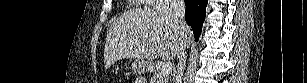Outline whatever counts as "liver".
<instances>
[{
  "label": "liver",
  "instance_id": "1",
  "mask_svg": "<svg viewBox=\"0 0 307 83\" xmlns=\"http://www.w3.org/2000/svg\"><path fill=\"white\" fill-rule=\"evenodd\" d=\"M192 31L186 25L183 43L187 47ZM182 44L178 24L169 8L133 10L113 20L106 35L105 67L122 58H133L149 67L157 57L172 60Z\"/></svg>",
  "mask_w": 307,
  "mask_h": 83
}]
</instances>
